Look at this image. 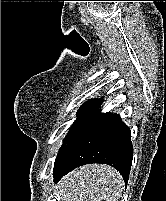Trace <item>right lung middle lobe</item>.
<instances>
[{"label":"right lung middle lobe","instance_id":"1","mask_svg":"<svg viewBox=\"0 0 166 201\" xmlns=\"http://www.w3.org/2000/svg\"><path fill=\"white\" fill-rule=\"evenodd\" d=\"M102 99L91 100L84 103L78 110L77 120L72 126L70 132L64 138L62 147L67 141L82 127V125L98 110L102 105Z\"/></svg>","mask_w":166,"mask_h":201}]
</instances>
